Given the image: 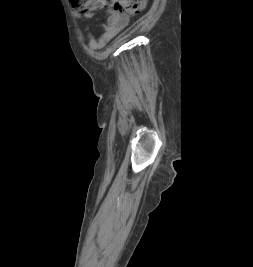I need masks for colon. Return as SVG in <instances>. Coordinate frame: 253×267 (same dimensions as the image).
Here are the masks:
<instances>
[{"mask_svg":"<svg viewBox=\"0 0 253 267\" xmlns=\"http://www.w3.org/2000/svg\"><path fill=\"white\" fill-rule=\"evenodd\" d=\"M70 7L80 12H90L112 7L120 13L136 14L143 10L146 0H69Z\"/></svg>","mask_w":253,"mask_h":267,"instance_id":"obj_1","label":"colon"}]
</instances>
